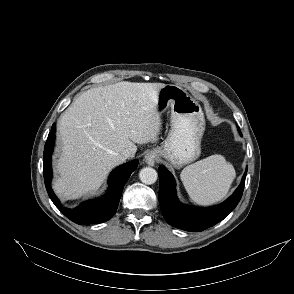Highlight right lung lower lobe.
I'll return each mask as SVG.
<instances>
[{"label":"right lung lower lobe","mask_w":294,"mask_h":294,"mask_svg":"<svg viewBox=\"0 0 294 294\" xmlns=\"http://www.w3.org/2000/svg\"><path fill=\"white\" fill-rule=\"evenodd\" d=\"M54 141L55 124L52 125L48 135L43 155L44 181L52 202L66 217L77 224H94L109 220L116 213L123 187L131 173L136 169L138 160L125 163L111 172L108 180V192L104 197L84 202L75 209H67L60 204L50 185L52 179L51 155Z\"/></svg>","instance_id":"obj_1"}]
</instances>
